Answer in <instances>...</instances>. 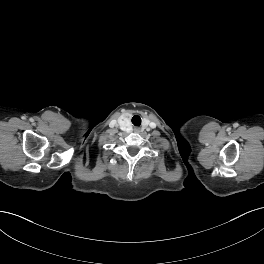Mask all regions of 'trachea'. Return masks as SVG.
<instances>
[{"mask_svg": "<svg viewBox=\"0 0 264 264\" xmlns=\"http://www.w3.org/2000/svg\"><path fill=\"white\" fill-rule=\"evenodd\" d=\"M132 123L136 126H139L141 124V118L139 116H134L132 118Z\"/></svg>", "mask_w": 264, "mask_h": 264, "instance_id": "3493384b", "label": "trachea"}]
</instances>
